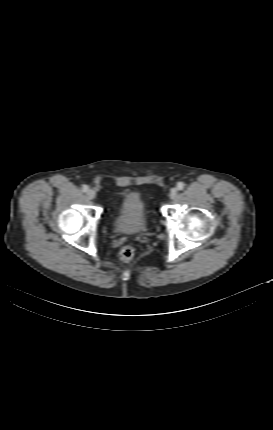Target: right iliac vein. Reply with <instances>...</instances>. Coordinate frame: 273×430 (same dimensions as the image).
Listing matches in <instances>:
<instances>
[{"label":"right iliac vein","mask_w":273,"mask_h":430,"mask_svg":"<svg viewBox=\"0 0 273 430\" xmlns=\"http://www.w3.org/2000/svg\"><path fill=\"white\" fill-rule=\"evenodd\" d=\"M95 196H96V192L94 190L90 189V190L87 191V197H88V199H94Z\"/></svg>","instance_id":"obj_1"}]
</instances>
